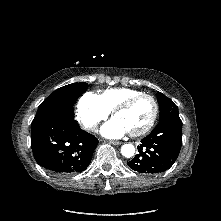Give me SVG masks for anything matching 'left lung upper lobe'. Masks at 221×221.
<instances>
[{
	"instance_id": "1",
	"label": "left lung upper lobe",
	"mask_w": 221,
	"mask_h": 221,
	"mask_svg": "<svg viewBox=\"0 0 221 221\" xmlns=\"http://www.w3.org/2000/svg\"><path fill=\"white\" fill-rule=\"evenodd\" d=\"M158 103L160 106V120L162 122L167 119L179 118L178 107L161 92L157 93Z\"/></svg>"
}]
</instances>
